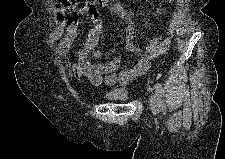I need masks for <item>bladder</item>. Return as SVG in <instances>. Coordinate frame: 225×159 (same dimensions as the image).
Returning <instances> with one entry per match:
<instances>
[{"instance_id":"1","label":"bladder","mask_w":225,"mask_h":159,"mask_svg":"<svg viewBox=\"0 0 225 159\" xmlns=\"http://www.w3.org/2000/svg\"><path fill=\"white\" fill-rule=\"evenodd\" d=\"M105 98L112 102H125L130 98V93L124 88H114L105 93Z\"/></svg>"}]
</instances>
